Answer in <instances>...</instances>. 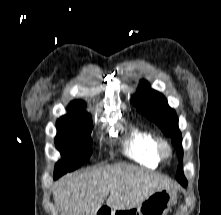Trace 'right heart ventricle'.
<instances>
[{
    "label": "right heart ventricle",
    "mask_w": 221,
    "mask_h": 215,
    "mask_svg": "<svg viewBox=\"0 0 221 215\" xmlns=\"http://www.w3.org/2000/svg\"><path fill=\"white\" fill-rule=\"evenodd\" d=\"M122 152L135 162L154 167L158 163L153 134L141 125H132L122 140Z\"/></svg>",
    "instance_id": "right-heart-ventricle-1"
}]
</instances>
